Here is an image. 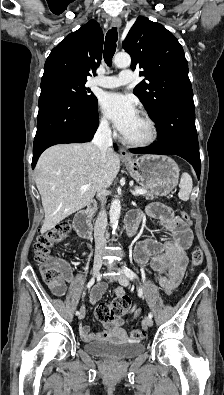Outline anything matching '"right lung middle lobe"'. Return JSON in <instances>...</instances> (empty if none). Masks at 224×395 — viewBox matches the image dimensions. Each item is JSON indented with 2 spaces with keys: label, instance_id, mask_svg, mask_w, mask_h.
Masks as SVG:
<instances>
[{
  "label": "right lung middle lobe",
  "instance_id": "right-lung-middle-lobe-1",
  "mask_svg": "<svg viewBox=\"0 0 224 395\" xmlns=\"http://www.w3.org/2000/svg\"><path fill=\"white\" fill-rule=\"evenodd\" d=\"M87 80H81L64 73L54 72L43 75L41 90H54L71 97L82 105H93L97 102L94 94L85 87Z\"/></svg>",
  "mask_w": 224,
  "mask_h": 395
}]
</instances>
